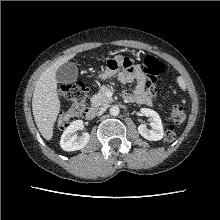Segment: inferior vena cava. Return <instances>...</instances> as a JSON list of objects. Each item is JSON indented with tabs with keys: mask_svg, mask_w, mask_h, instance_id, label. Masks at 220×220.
<instances>
[{
	"mask_svg": "<svg viewBox=\"0 0 220 220\" xmlns=\"http://www.w3.org/2000/svg\"><path fill=\"white\" fill-rule=\"evenodd\" d=\"M104 111H105L104 108H92V109H90V114L101 115Z\"/></svg>",
	"mask_w": 220,
	"mask_h": 220,
	"instance_id": "1",
	"label": "inferior vena cava"
}]
</instances>
